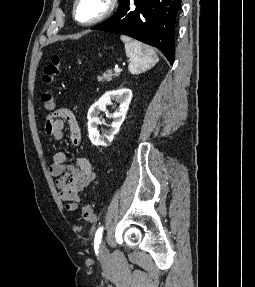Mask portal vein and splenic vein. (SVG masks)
<instances>
[{
  "mask_svg": "<svg viewBox=\"0 0 255 287\" xmlns=\"http://www.w3.org/2000/svg\"><path fill=\"white\" fill-rule=\"evenodd\" d=\"M114 70L115 72H122L121 68H118V66H115Z\"/></svg>",
  "mask_w": 255,
  "mask_h": 287,
  "instance_id": "1",
  "label": "portal vein and splenic vein"
}]
</instances>
